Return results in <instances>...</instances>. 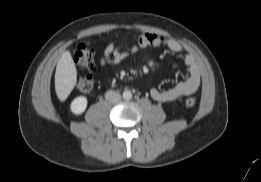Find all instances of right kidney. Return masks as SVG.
I'll return each mask as SVG.
<instances>
[{"instance_id": "1", "label": "right kidney", "mask_w": 261, "mask_h": 182, "mask_svg": "<svg viewBox=\"0 0 261 182\" xmlns=\"http://www.w3.org/2000/svg\"><path fill=\"white\" fill-rule=\"evenodd\" d=\"M87 107V98L84 96H79L75 98L70 105V109L73 114L80 115L82 114Z\"/></svg>"}]
</instances>
